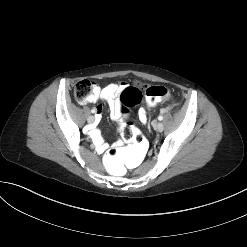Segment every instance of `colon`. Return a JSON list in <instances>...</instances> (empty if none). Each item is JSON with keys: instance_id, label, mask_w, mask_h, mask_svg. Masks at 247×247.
Instances as JSON below:
<instances>
[{"instance_id": "5ec220e1", "label": "colon", "mask_w": 247, "mask_h": 247, "mask_svg": "<svg viewBox=\"0 0 247 247\" xmlns=\"http://www.w3.org/2000/svg\"><path fill=\"white\" fill-rule=\"evenodd\" d=\"M92 82L80 81L76 84L74 95L80 102H85L92 93ZM145 96L150 104L169 98V90L160 85L149 86L145 90ZM141 92L138 87H127L120 94V110L128 113L139 104ZM123 138L128 141L126 149H110L104 155L103 166L105 171L114 177H126L133 173L145 160L150 147L147 138L142 135L131 123H124L120 129Z\"/></svg>"}]
</instances>
